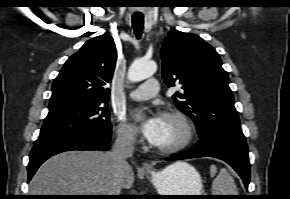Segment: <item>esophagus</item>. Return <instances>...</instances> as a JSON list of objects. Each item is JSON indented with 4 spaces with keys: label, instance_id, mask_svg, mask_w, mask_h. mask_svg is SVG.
<instances>
[{
    "label": "esophagus",
    "instance_id": "1",
    "mask_svg": "<svg viewBox=\"0 0 290 199\" xmlns=\"http://www.w3.org/2000/svg\"><path fill=\"white\" fill-rule=\"evenodd\" d=\"M143 168H144L146 171H148V170L151 169V164L148 163V162H145V163H143Z\"/></svg>",
    "mask_w": 290,
    "mask_h": 199
}]
</instances>
